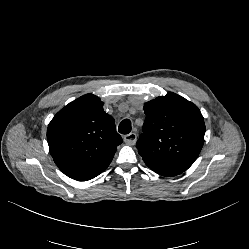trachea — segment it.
I'll return each mask as SVG.
<instances>
[{"instance_id": "obj_1", "label": "trachea", "mask_w": 249, "mask_h": 249, "mask_svg": "<svg viewBox=\"0 0 249 249\" xmlns=\"http://www.w3.org/2000/svg\"><path fill=\"white\" fill-rule=\"evenodd\" d=\"M118 131L121 134H129L131 132V122H130V120L125 119V120L121 121V123L119 124Z\"/></svg>"}]
</instances>
